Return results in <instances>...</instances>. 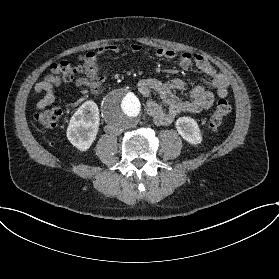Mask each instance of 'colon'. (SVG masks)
Returning <instances> with one entry per match:
<instances>
[{
    "label": "colon",
    "mask_w": 279,
    "mask_h": 279,
    "mask_svg": "<svg viewBox=\"0 0 279 279\" xmlns=\"http://www.w3.org/2000/svg\"><path fill=\"white\" fill-rule=\"evenodd\" d=\"M50 71L57 78L68 80L71 77L80 74L83 71L81 65L71 61H62L50 66ZM231 111V103L227 99H220L217 103L215 112L210 116L208 127L210 129L218 128L226 119ZM60 110L52 105L36 112L34 118L36 122L44 129H51L56 126Z\"/></svg>",
    "instance_id": "colon-1"
}]
</instances>
